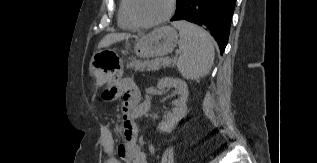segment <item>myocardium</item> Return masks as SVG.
<instances>
[{"label": "myocardium", "instance_id": "myocardium-1", "mask_svg": "<svg viewBox=\"0 0 317 163\" xmlns=\"http://www.w3.org/2000/svg\"><path fill=\"white\" fill-rule=\"evenodd\" d=\"M175 9H176V0H169L168 10L162 17H160L159 19L153 20V21H144V20H141L135 13L134 0H128V13H129L131 19L139 27L150 28V27L159 26V25L167 22L174 14Z\"/></svg>", "mask_w": 317, "mask_h": 163}]
</instances>
